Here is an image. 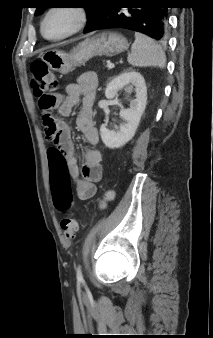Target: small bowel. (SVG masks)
Masks as SVG:
<instances>
[{
  "label": "small bowel",
  "mask_w": 213,
  "mask_h": 338,
  "mask_svg": "<svg viewBox=\"0 0 213 338\" xmlns=\"http://www.w3.org/2000/svg\"><path fill=\"white\" fill-rule=\"evenodd\" d=\"M97 86L96 74L85 72L79 77L77 83L66 86L63 95H57L59 113L64 117H70L74 107L78 105L80 100L82 101L81 112L76 119V125L84 140L90 145H96L99 141V133L93 123L91 112ZM56 126L60 138L47 152L51 174L56 178L63 175L71 176L75 181L77 197L80 200L90 199L97 191L95 183L102 179L101 153L93 148L84 151V164L80 176V167L71 138V130L63 121L57 122ZM46 135L53 140L54 135L49 133L47 128Z\"/></svg>",
  "instance_id": "small-bowel-1"
}]
</instances>
